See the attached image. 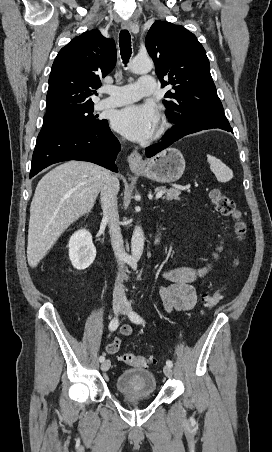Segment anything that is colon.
<instances>
[{"instance_id": "obj_1", "label": "colon", "mask_w": 272, "mask_h": 452, "mask_svg": "<svg viewBox=\"0 0 272 452\" xmlns=\"http://www.w3.org/2000/svg\"><path fill=\"white\" fill-rule=\"evenodd\" d=\"M209 197L215 210L224 216L233 218L236 221V235L239 239L244 238L247 226L245 221L242 219L241 212L236 207L235 202L219 189L211 190ZM222 290V288H218L213 293H204L202 295V302L207 309L213 308L219 302ZM121 360L123 363L135 367H147L148 365L154 363V359L134 353H124L121 356Z\"/></svg>"}]
</instances>
